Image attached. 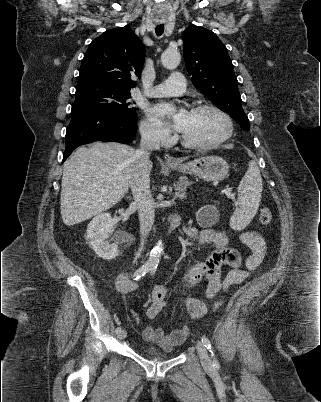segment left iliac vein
<instances>
[{"label":"left iliac vein","mask_w":321,"mask_h":402,"mask_svg":"<svg viewBox=\"0 0 321 402\" xmlns=\"http://www.w3.org/2000/svg\"><path fill=\"white\" fill-rule=\"evenodd\" d=\"M196 349H197V352L199 354V357H200L202 365L204 367H206V368H211L212 367V361H211V359H210V357H209V355L207 353V350L204 347L203 343L198 341L196 343Z\"/></svg>","instance_id":"obj_1"}]
</instances>
